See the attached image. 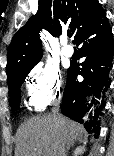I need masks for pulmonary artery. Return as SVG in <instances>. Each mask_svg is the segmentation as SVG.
<instances>
[{"instance_id":"pulmonary-artery-1","label":"pulmonary artery","mask_w":114,"mask_h":156,"mask_svg":"<svg viewBox=\"0 0 114 156\" xmlns=\"http://www.w3.org/2000/svg\"><path fill=\"white\" fill-rule=\"evenodd\" d=\"M61 51L65 57H71L74 53L73 48L67 44L66 39H63V47Z\"/></svg>"}]
</instances>
